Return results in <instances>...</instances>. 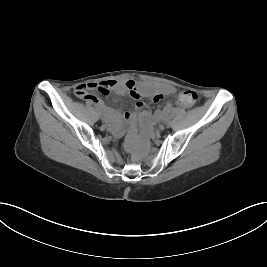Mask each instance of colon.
Segmentation results:
<instances>
[{
	"label": "colon",
	"mask_w": 267,
	"mask_h": 267,
	"mask_svg": "<svg viewBox=\"0 0 267 267\" xmlns=\"http://www.w3.org/2000/svg\"><path fill=\"white\" fill-rule=\"evenodd\" d=\"M104 82V81H103ZM103 82L100 83H87L78 88V96L81 99H89L93 97L92 91L99 92L102 96H107L110 93V88L105 86ZM128 88L130 92H135V86L133 83H128ZM161 97H156V101H159ZM198 99V95L196 92L192 90L182 91L178 96V101L181 105L190 107L195 104Z\"/></svg>",
	"instance_id": "colon-1"
}]
</instances>
